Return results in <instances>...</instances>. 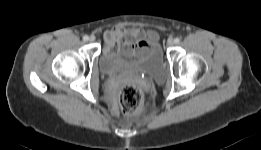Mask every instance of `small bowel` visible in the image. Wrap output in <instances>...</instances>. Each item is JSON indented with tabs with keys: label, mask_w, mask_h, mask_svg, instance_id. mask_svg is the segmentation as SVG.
Masks as SVG:
<instances>
[{
	"label": "small bowel",
	"mask_w": 261,
	"mask_h": 150,
	"mask_svg": "<svg viewBox=\"0 0 261 150\" xmlns=\"http://www.w3.org/2000/svg\"><path fill=\"white\" fill-rule=\"evenodd\" d=\"M141 33L136 29L115 28L107 35L108 46H119L120 44L132 45L135 48L144 49L149 42L140 37Z\"/></svg>",
	"instance_id": "small-bowel-1"
}]
</instances>
